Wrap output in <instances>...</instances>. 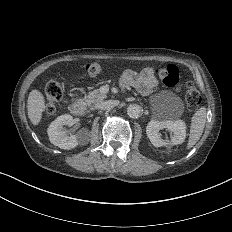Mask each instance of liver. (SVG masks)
Here are the masks:
<instances>
[{
    "label": "liver",
    "instance_id": "liver-1",
    "mask_svg": "<svg viewBox=\"0 0 232 232\" xmlns=\"http://www.w3.org/2000/svg\"><path fill=\"white\" fill-rule=\"evenodd\" d=\"M28 117L33 125H38L45 110L44 97L38 90L29 93L27 101Z\"/></svg>",
    "mask_w": 232,
    "mask_h": 232
}]
</instances>
